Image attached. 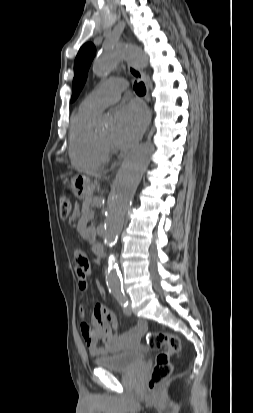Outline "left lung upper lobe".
Segmentation results:
<instances>
[{
    "mask_svg": "<svg viewBox=\"0 0 253 413\" xmlns=\"http://www.w3.org/2000/svg\"><path fill=\"white\" fill-rule=\"evenodd\" d=\"M95 54L96 48L92 43H86L80 48L74 62L73 94L71 101H74L78 97L83 88L88 69Z\"/></svg>",
    "mask_w": 253,
    "mask_h": 413,
    "instance_id": "1",
    "label": "left lung upper lobe"
}]
</instances>
